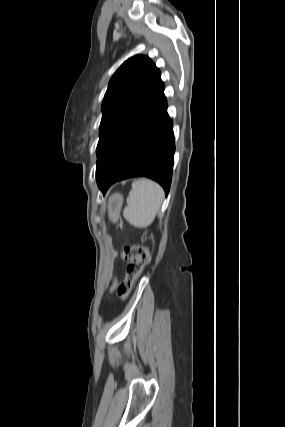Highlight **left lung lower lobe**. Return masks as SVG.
Masks as SVG:
<instances>
[{
	"label": "left lung lower lobe",
	"instance_id": "obj_1",
	"mask_svg": "<svg viewBox=\"0 0 285 427\" xmlns=\"http://www.w3.org/2000/svg\"><path fill=\"white\" fill-rule=\"evenodd\" d=\"M174 134L167 114L164 84L150 105L132 122L115 145L97 160L96 179L105 194L111 184L146 176L159 182L167 195L172 178Z\"/></svg>",
	"mask_w": 285,
	"mask_h": 427
}]
</instances>
